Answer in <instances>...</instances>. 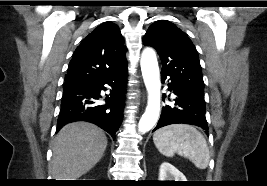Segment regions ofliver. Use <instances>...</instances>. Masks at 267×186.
Returning a JSON list of instances; mask_svg holds the SVG:
<instances>
[{
	"label": "liver",
	"instance_id": "obj_1",
	"mask_svg": "<svg viewBox=\"0 0 267 186\" xmlns=\"http://www.w3.org/2000/svg\"><path fill=\"white\" fill-rule=\"evenodd\" d=\"M107 146L105 133L87 122L64 126L53 144L50 173L55 180H76L93 168Z\"/></svg>",
	"mask_w": 267,
	"mask_h": 186
}]
</instances>
